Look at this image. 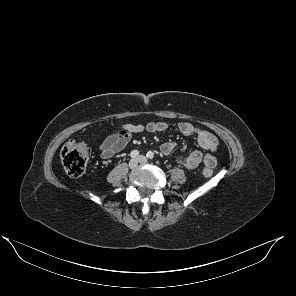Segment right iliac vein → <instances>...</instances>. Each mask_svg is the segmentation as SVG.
Returning a JSON list of instances; mask_svg holds the SVG:
<instances>
[{"label": "right iliac vein", "instance_id": "obj_1", "mask_svg": "<svg viewBox=\"0 0 296 296\" xmlns=\"http://www.w3.org/2000/svg\"><path fill=\"white\" fill-rule=\"evenodd\" d=\"M138 165V160L137 159H131L129 161V168L130 169H135Z\"/></svg>", "mask_w": 296, "mask_h": 296}]
</instances>
